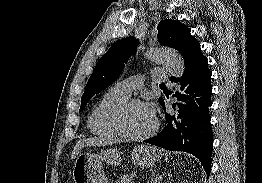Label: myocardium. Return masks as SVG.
Wrapping results in <instances>:
<instances>
[{
	"mask_svg": "<svg viewBox=\"0 0 262 183\" xmlns=\"http://www.w3.org/2000/svg\"><path fill=\"white\" fill-rule=\"evenodd\" d=\"M143 104L142 101L138 99H133V98H127L125 101H123L121 104H119L114 111L110 115V125L112 129L115 131V133L127 140H132V141H142L145 139H148L152 137L158 130L159 128V121L156 118L154 126L151 128L150 131H148L145 134L141 135H135L127 132V130L124 127V116L126 111L133 105H140Z\"/></svg>",
	"mask_w": 262,
	"mask_h": 183,
	"instance_id": "1",
	"label": "myocardium"
}]
</instances>
